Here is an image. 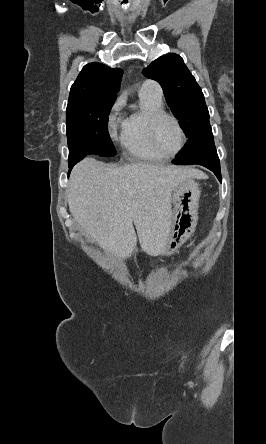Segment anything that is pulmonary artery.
<instances>
[{
  "instance_id": "e3ab8cb5",
  "label": "pulmonary artery",
  "mask_w": 266,
  "mask_h": 444,
  "mask_svg": "<svg viewBox=\"0 0 266 444\" xmlns=\"http://www.w3.org/2000/svg\"><path fill=\"white\" fill-rule=\"evenodd\" d=\"M140 93L150 95L156 99L162 100L163 91L161 86L153 80H145L140 88Z\"/></svg>"
}]
</instances>
